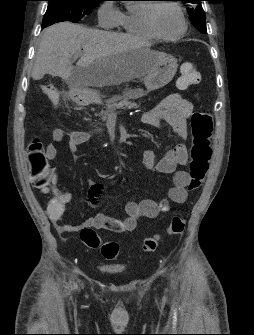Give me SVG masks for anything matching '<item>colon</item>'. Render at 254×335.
<instances>
[{"mask_svg":"<svg viewBox=\"0 0 254 335\" xmlns=\"http://www.w3.org/2000/svg\"><path fill=\"white\" fill-rule=\"evenodd\" d=\"M180 77L177 81L179 88H187L195 85L200 80V74L195 65L184 62L180 66ZM44 94L48 97L52 105L60 104V96L57 88L52 84H45L42 87ZM190 128L192 135V146L190 150L189 180L188 189H197L203 181L212 157L211 139L213 134V120L209 113L195 111L190 118ZM28 175L29 178H37V185H44V190L51 185H56L55 172L46 160L43 145L38 140H33L27 149ZM51 208L57 209L58 205L53 203ZM185 228V218L182 215H174L166 229V234L170 236L181 235ZM160 236L146 238L142 243V250L145 253H153L160 243ZM81 242L91 249H99L106 260L117 259L121 250L114 241L104 242L97 232L90 227H85L80 231Z\"/></svg>","mask_w":254,"mask_h":335,"instance_id":"obj_1","label":"colon"}]
</instances>
